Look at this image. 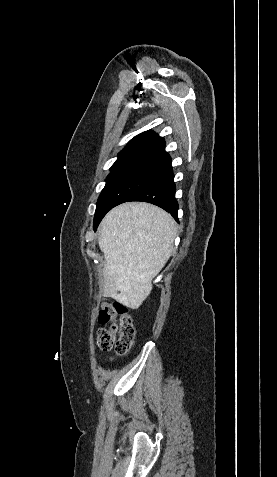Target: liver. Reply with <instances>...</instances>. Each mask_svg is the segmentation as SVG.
<instances>
[{
  "mask_svg": "<svg viewBox=\"0 0 277 477\" xmlns=\"http://www.w3.org/2000/svg\"><path fill=\"white\" fill-rule=\"evenodd\" d=\"M176 234L172 216L152 204L128 202L112 209L98 229L105 258L103 295L139 308L170 258Z\"/></svg>",
  "mask_w": 277,
  "mask_h": 477,
  "instance_id": "liver-1",
  "label": "liver"
}]
</instances>
